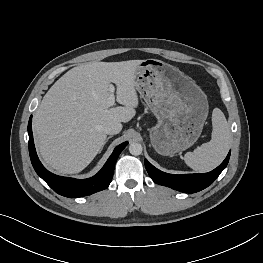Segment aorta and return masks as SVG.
I'll return each instance as SVG.
<instances>
[{
    "label": "aorta",
    "instance_id": "1",
    "mask_svg": "<svg viewBox=\"0 0 263 263\" xmlns=\"http://www.w3.org/2000/svg\"><path fill=\"white\" fill-rule=\"evenodd\" d=\"M142 145L140 143L137 142H133L129 145V152L134 155V156H138L142 153Z\"/></svg>",
    "mask_w": 263,
    "mask_h": 263
}]
</instances>
